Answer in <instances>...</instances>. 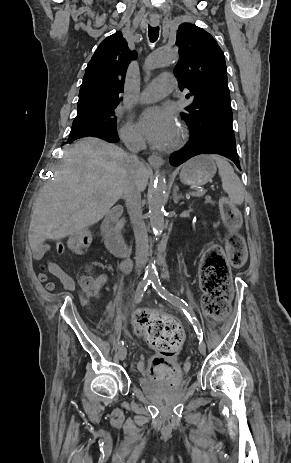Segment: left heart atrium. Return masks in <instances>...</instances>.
Returning a JSON list of instances; mask_svg holds the SVG:
<instances>
[{
  "mask_svg": "<svg viewBox=\"0 0 291 463\" xmlns=\"http://www.w3.org/2000/svg\"><path fill=\"white\" fill-rule=\"evenodd\" d=\"M139 125L144 136L156 146L168 145L177 130L171 113L158 106L145 109L140 116Z\"/></svg>",
  "mask_w": 291,
  "mask_h": 463,
  "instance_id": "1",
  "label": "left heart atrium"
}]
</instances>
